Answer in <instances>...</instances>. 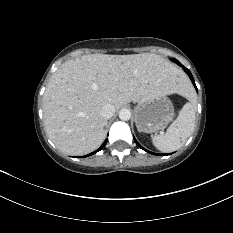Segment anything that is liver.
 <instances>
[{
  "label": "liver",
  "mask_w": 233,
  "mask_h": 233,
  "mask_svg": "<svg viewBox=\"0 0 233 233\" xmlns=\"http://www.w3.org/2000/svg\"><path fill=\"white\" fill-rule=\"evenodd\" d=\"M186 90L182 71L159 55H83L51 76L43 101L45 130L60 151L84 155L105 139L104 105L119 109Z\"/></svg>",
  "instance_id": "1"
}]
</instances>
